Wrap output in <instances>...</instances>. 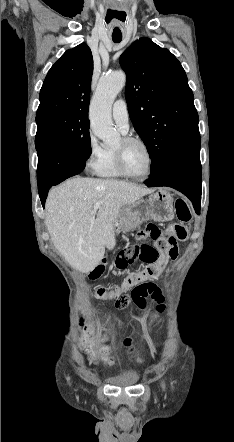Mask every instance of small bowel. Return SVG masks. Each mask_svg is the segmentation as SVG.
<instances>
[{"instance_id":"small-bowel-1","label":"small bowel","mask_w":234,"mask_h":442,"mask_svg":"<svg viewBox=\"0 0 234 442\" xmlns=\"http://www.w3.org/2000/svg\"><path fill=\"white\" fill-rule=\"evenodd\" d=\"M147 237H148L147 235H143V238H147ZM178 253H179V248L175 245L173 250L170 253L160 255L157 259V263L160 264L161 266H164L169 261H174L177 258ZM145 286L147 289L158 290V288L151 283H146ZM154 320L161 321L162 317L155 316ZM117 325H122V322H117ZM130 331H133V328H130ZM129 341H135V338H129ZM127 347H128V352L134 351V348H132L129 344H127Z\"/></svg>"}]
</instances>
